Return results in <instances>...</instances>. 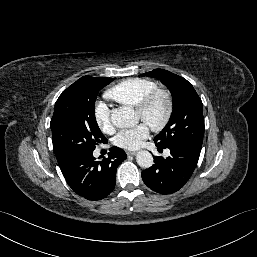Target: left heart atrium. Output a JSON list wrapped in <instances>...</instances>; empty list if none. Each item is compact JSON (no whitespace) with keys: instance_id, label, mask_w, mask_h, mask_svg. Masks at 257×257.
Wrapping results in <instances>:
<instances>
[{"instance_id":"left-heart-atrium-1","label":"left heart atrium","mask_w":257,"mask_h":257,"mask_svg":"<svg viewBox=\"0 0 257 257\" xmlns=\"http://www.w3.org/2000/svg\"><path fill=\"white\" fill-rule=\"evenodd\" d=\"M149 125L145 122L133 128L123 129L114 137V144L124 149H136L149 136Z\"/></svg>"}]
</instances>
